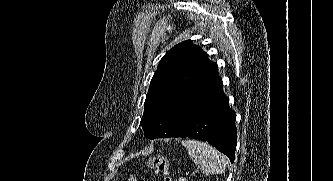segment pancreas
Here are the masks:
<instances>
[{
    "label": "pancreas",
    "mask_w": 333,
    "mask_h": 181,
    "mask_svg": "<svg viewBox=\"0 0 333 181\" xmlns=\"http://www.w3.org/2000/svg\"><path fill=\"white\" fill-rule=\"evenodd\" d=\"M178 181H186L185 179H183V178H179V180Z\"/></svg>",
    "instance_id": "cf45deb5"
}]
</instances>
